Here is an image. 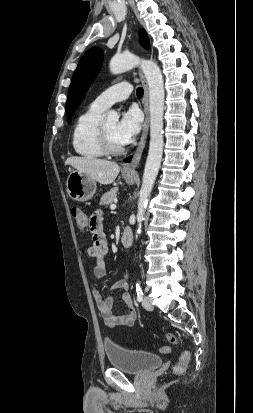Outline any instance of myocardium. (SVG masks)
I'll use <instances>...</instances> for the list:
<instances>
[{
	"label": "myocardium",
	"instance_id": "1",
	"mask_svg": "<svg viewBox=\"0 0 253 413\" xmlns=\"http://www.w3.org/2000/svg\"><path fill=\"white\" fill-rule=\"evenodd\" d=\"M98 142L100 148L107 155H118L124 152L125 148L121 146H115L109 139V136L104 128L103 122L98 125Z\"/></svg>",
	"mask_w": 253,
	"mask_h": 413
}]
</instances>
